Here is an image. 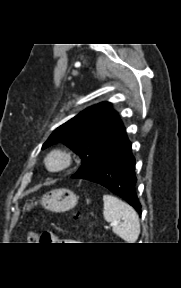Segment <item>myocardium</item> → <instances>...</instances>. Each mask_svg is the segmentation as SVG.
I'll return each mask as SVG.
<instances>
[{"instance_id":"f54148a6","label":"myocardium","mask_w":181,"mask_h":288,"mask_svg":"<svg viewBox=\"0 0 181 288\" xmlns=\"http://www.w3.org/2000/svg\"><path fill=\"white\" fill-rule=\"evenodd\" d=\"M53 159L57 160L55 166L51 165ZM74 163V155L65 148H53L48 151L44 157L43 164L45 169L54 174L62 173L72 167Z\"/></svg>"}]
</instances>
